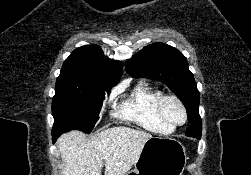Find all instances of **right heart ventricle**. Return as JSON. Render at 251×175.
<instances>
[{
    "label": "right heart ventricle",
    "instance_id": "e07e8e85",
    "mask_svg": "<svg viewBox=\"0 0 251 175\" xmlns=\"http://www.w3.org/2000/svg\"><path fill=\"white\" fill-rule=\"evenodd\" d=\"M162 94L160 90L147 83L136 84L129 97L121 104L119 116L150 133L173 134L175 130L163 124L156 114L155 104Z\"/></svg>",
    "mask_w": 251,
    "mask_h": 175
}]
</instances>
